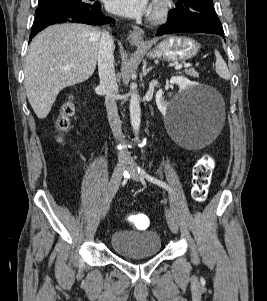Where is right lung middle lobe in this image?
I'll return each instance as SVG.
<instances>
[{"instance_id":"1","label":"right lung middle lobe","mask_w":267,"mask_h":301,"mask_svg":"<svg viewBox=\"0 0 267 301\" xmlns=\"http://www.w3.org/2000/svg\"><path fill=\"white\" fill-rule=\"evenodd\" d=\"M92 5L93 4L85 3L82 0H39V6L36 9L35 17L64 9H86Z\"/></svg>"}]
</instances>
